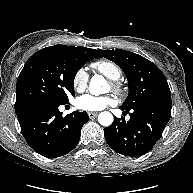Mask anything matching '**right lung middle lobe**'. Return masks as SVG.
Returning <instances> with one entry per match:
<instances>
[{
  "label": "right lung middle lobe",
  "instance_id": "dd1d6c3e",
  "mask_svg": "<svg viewBox=\"0 0 193 193\" xmlns=\"http://www.w3.org/2000/svg\"><path fill=\"white\" fill-rule=\"evenodd\" d=\"M91 57L58 51H37L25 63L16 86V114L47 101L68 103L74 78Z\"/></svg>",
  "mask_w": 193,
  "mask_h": 193
}]
</instances>
